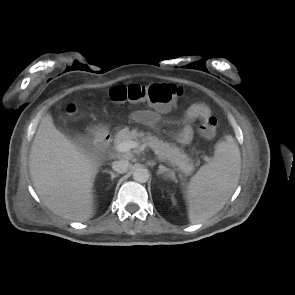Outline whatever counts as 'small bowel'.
Segmentation results:
<instances>
[{"instance_id":"c3829d8e","label":"small bowel","mask_w":295,"mask_h":295,"mask_svg":"<svg viewBox=\"0 0 295 295\" xmlns=\"http://www.w3.org/2000/svg\"><path fill=\"white\" fill-rule=\"evenodd\" d=\"M166 111L163 110H136L130 114V118L140 124L156 127L162 120ZM207 115H212L208 105L195 103L191 105L185 116L182 129L176 134V139L181 144H188L193 138V124L202 120Z\"/></svg>"}]
</instances>
